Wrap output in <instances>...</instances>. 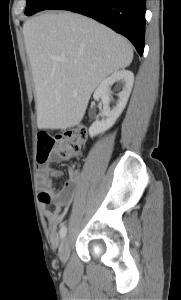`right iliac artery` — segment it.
Listing matches in <instances>:
<instances>
[{"instance_id": "right-iliac-artery-1", "label": "right iliac artery", "mask_w": 181, "mask_h": 300, "mask_svg": "<svg viewBox=\"0 0 181 300\" xmlns=\"http://www.w3.org/2000/svg\"><path fill=\"white\" fill-rule=\"evenodd\" d=\"M66 232H67L66 226H62L59 231L61 239H63L66 236Z\"/></svg>"}]
</instances>
